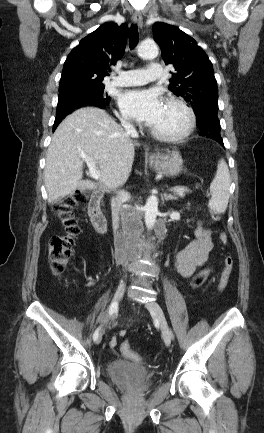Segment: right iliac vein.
<instances>
[{
    "mask_svg": "<svg viewBox=\"0 0 264 433\" xmlns=\"http://www.w3.org/2000/svg\"><path fill=\"white\" fill-rule=\"evenodd\" d=\"M124 291H125V282L123 280H121L118 287H117L113 302H116L118 304V302L121 300V298L124 294ZM101 340H102V334H100L98 336L96 343L99 344L101 342Z\"/></svg>",
    "mask_w": 264,
    "mask_h": 433,
    "instance_id": "63e3f726",
    "label": "right iliac vein"
}]
</instances>
